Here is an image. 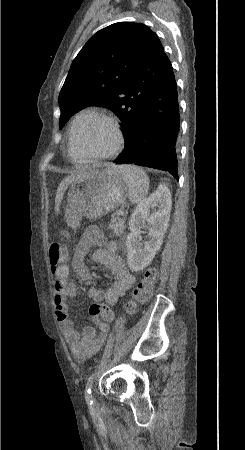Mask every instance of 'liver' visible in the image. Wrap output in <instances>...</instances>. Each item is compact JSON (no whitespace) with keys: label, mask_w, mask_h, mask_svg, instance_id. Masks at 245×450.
<instances>
[{"label":"liver","mask_w":245,"mask_h":450,"mask_svg":"<svg viewBox=\"0 0 245 450\" xmlns=\"http://www.w3.org/2000/svg\"><path fill=\"white\" fill-rule=\"evenodd\" d=\"M90 172H84V173H78L73 174L68 177H66L60 184L56 192V198H55V212L58 213L61 201L63 199V195L67 189V187L77 178L83 177Z\"/></svg>","instance_id":"6515ba94"}]
</instances>
